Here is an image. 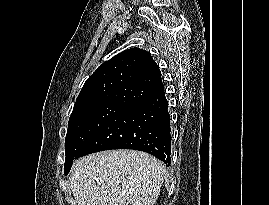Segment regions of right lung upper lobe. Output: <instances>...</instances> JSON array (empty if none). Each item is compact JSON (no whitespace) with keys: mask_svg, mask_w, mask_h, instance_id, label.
Segmentation results:
<instances>
[{"mask_svg":"<svg viewBox=\"0 0 269 205\" xmlns=\"http://www.w3.org/2000/svg\"><path fill=\"white\" fill-rule=\"evenodd\" d=\"M164 91L149 52L131 48L100 65L86 80L74 109L96 104L131 106Z\"/></svg>","mask_w":269,"mask_h":205,"instance_id":"cb5924a9","label":"right lung upper lobe"}]
</instances>
